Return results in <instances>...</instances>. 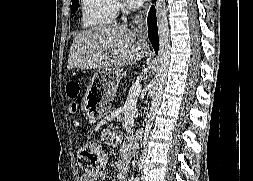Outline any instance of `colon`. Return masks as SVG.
Wrapping results in <instances>:
<instances>
[{"mask_svg": "<svg viewBox=\"0 0 253 181\" xmlns=\"http://www.w3.org/2000/svg\"><path fill=\"white\" fill-rule=\"evenodd\" d=\"M69 99L76 100L80 95V85L76 81L67 84ZM79 161L81 168L88 173L99 171L106 162V152L103 146L94 140L84 142L79 149Z\"/></svg>", "mask_w": 253, "mask_h": 181, "instance_id": "colon-1", "label": "colon"}]
</instances>
